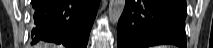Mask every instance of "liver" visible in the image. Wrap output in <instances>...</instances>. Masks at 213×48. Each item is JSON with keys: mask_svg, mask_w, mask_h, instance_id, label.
Returning a JSON list of instances; mask_svg holds the SVG:
<instances>
[{"mask_svg": "<svg viewBox=\"0 0 213 48\" xmlns=\"http://www.w3.org/2000/svg\"><path fill=\"white\" fill-rule=\"evenodd\" d=\"M50 46H51L50 44L39 43V44L36 45L35 48H51Z\"/></svg>", "mask_w": 213, "mask_h": 48, "instance_id": "obj_1", "label": "liver"}]
</instances>
